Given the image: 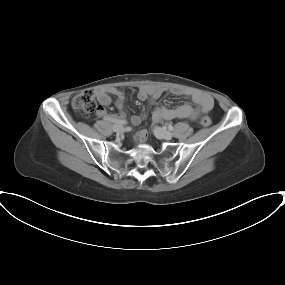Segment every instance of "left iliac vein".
<instances>
[{
  "label": "left iliac vein",
  "instance_id": "1",
  "mask_svg": "<svg viewBox=\"0 0 285 285\" xmlns=\"http://www.w3.org/2000/svg\"><path fill=\"white\" fill-rule=\"evenodd\" d=\"M153 131L159 139L171 140L173 137L171 132L161 127H155Z\"/></svg>",
  "mask_w": 285,
  "mask_h": 285
}]
</instances>
